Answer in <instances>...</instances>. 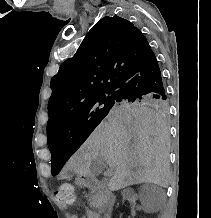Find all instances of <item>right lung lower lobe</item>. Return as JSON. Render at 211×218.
I'll use <instances>...</instances> for the list:
<instances>
[{"instance_id":"right-lung-lower-lobe-1","label":"right lung lower lobe","mask_w":211,"mask_h":218,"mask_svg":"<svg viewBox=\"0 0 211 218\" xmlns=\"http://www.w3.org/2000/svg\"><path fill=\"white\" fill-rule=\"evenodd\" d=\"M113 92L123 98H167L160 68L153 51L126 72L114 85Z\"/></svg>"}]
</instances>
